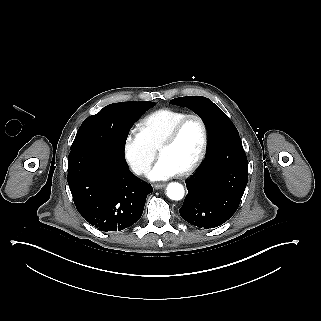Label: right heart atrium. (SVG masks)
<instances>
[{"label":"right heart atrium","mask_w":321,"mask_h":321,"mask_svg":"<svg viewBox=\"0 0 321 321\" xmlns=\"http://www.w3.org/2000/svg\"><path fill=\"white\" fill-rule=\"evenodd\" d=\"M151 144L139 128H131L123 141V156L137 176L145 175L152 163Z\"/></svg>","instance_id":"1"}]
</instances>
